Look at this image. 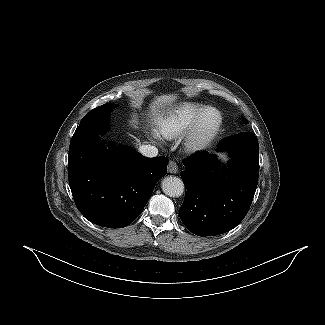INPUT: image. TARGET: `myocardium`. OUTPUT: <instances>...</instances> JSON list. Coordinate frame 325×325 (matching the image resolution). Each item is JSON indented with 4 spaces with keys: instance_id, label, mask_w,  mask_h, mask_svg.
<instances>
[{
    "instance_id": "myocardium-1",
    "label": "myocardium",
    "mask_w": 325,
    "mask_h": 325,
    "mask_svg": "<svg viewBox=\"0 0 325 325\" xmlns=\"http://www.w3.org/2000/svg\"><path fill=\"white\" fill-rule=\"evenodd\" d=\"M215 114L213 123L207 124L209 114ZM223 124L221 112L214 107H206L196 117L183 137V147L188 153H197L206 149L219 133Z\"/></svg>"
}]
</instances>
